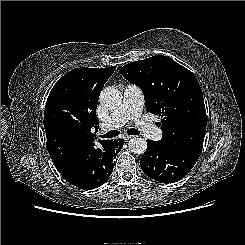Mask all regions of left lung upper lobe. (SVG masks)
Returning a JSON list of instances; mask_svg holds the SVG:
<instances>
[{
	"label": "left lung upper lobe",
	"instance_id": "left-lung-upper-lobe-1",
	"mask_svg": "<svg viewBox=\"0 0 245 245\" xmlns=\"http://www.w3.org/2000/svg\"><path fill=\"white\" fill-rule=\"evenodd\" d=\"M144 93L146 110L161 117L159 142L173 150L201 153L206 131L203 93L193 73L166 56L118 67Z\"/></svg>",
	"mask_w": 245,
	"mask_h": 245
}]
</instances>
